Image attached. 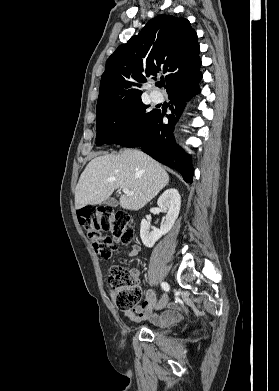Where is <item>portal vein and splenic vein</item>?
Wrapping results in <instances>:
<instances>
[{
	"label": "portal vein and splenic vein",
	"mask_w": 279,
	"mask_h": 391,
	"mask_svg": "<svg viewBox=\"0 0 279 391\" xmlns=\"http://www.w3.org/2000/svg\"><path fill=\"white\" fill-rule=\"evenodd\" d=\"M122 191L126 195H130V196L134 195V193L127 188H123Z\"/></svg>",
	"instance_id": "1"
}]
</instances>
